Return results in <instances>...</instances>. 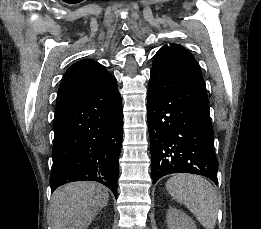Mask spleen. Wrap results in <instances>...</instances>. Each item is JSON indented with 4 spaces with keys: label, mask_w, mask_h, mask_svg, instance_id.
<instances>
[{
    "label": "spleen",
    "mask_w": 261,
    "mask_h": 229,
    "mask_svg": "<svg viewBox=\"0 0 261 229\" xmlns=\"http://www.w3.org/2000/svg\"><path fill=\"white\" fill-rule=\"evenodd\" d=\"M177 203H183L205 229H214L219 203L211 183L199 175L176 173L165 185Z\"/></svg>",
    "instance_id": "3e777b00"
}]
</instances>
